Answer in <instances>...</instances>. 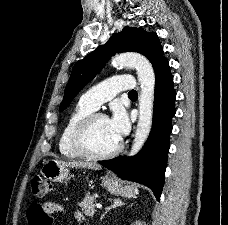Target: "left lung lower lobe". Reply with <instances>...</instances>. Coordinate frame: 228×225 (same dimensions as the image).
Listing matches in <instances>:
<instances>
[{
	"label": "left lung lower lobe",
	"instance_id": "0a47b994",
	"mask_svg": "<svg viewBox=\"0 0 228 225\" xmlns=\"http://www.w3.org/2000/svg\"><path fill=\"white\" fill-rule=\"evenodd\" d=\"M155 99L152 129L142 150L134 157H119L98 161L113 170L121 179L149 187L159 200L164 185V175L169 150L171 119L175 115L173 76L164 58L155 68Z\"/></svg>",
	"mask_w": 228,
	"mask_h": 225
}]
</instances>
